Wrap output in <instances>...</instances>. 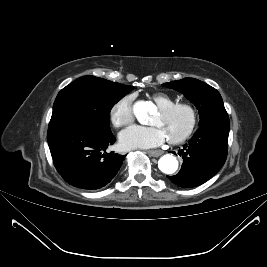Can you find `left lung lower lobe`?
Here are the masks:
<instances>
[{
	"label": "left lung lower lobe",
	"mask_w": 267,
	"mask_h": 267,
	"mask_svg": "<svg viewBox=\"0 0 267 267\" xmlns=\"http://www.w3.org/2000/svg\"><path fill=\"white\" fill-rule=\"evenodd\" d=\"M229 128L225 122L200 126L189 144L178 151L183 165L177 175L167 176L171 182L191 188L212 178L225 163Z\"/></svg>",
	"instance_id": "obj_1"
}]
</instances>
